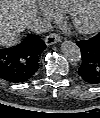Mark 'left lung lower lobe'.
Here are the masks:
<instances>
[{"instance_id": "0a47b994", "label": "left lung lower lobe", "mask_w": 100, "mask_h": 118, "mask_svg": "<svg viewBox=\"0 0 100 118\" xmlns=\"http://www.w3.org/2000/svg\"><path fill=\"white\" fill-rule=\"evenodd\" d=\"M82 54L78 69L80 78L91 85L100 84V33L88 40L77 41Z\"/></svg>"}]
</instances>
